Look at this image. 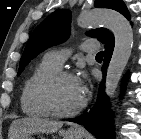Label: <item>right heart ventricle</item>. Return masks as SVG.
Segmentation results:
<instances>
[{"mask_svg": "<svg viewBox=\"0 0 141 139\" xmlns=\"http://www.w3.org/2000/svg\"><path fill=\"white\" fill-rule=\"evenodd\" d=\"M58 70L59 67L43 58L26 78L20 96L21 109L25 115L36 118L49 116L40 103L38 91L42 82Z\"/></svg>", "mask_w": 141, "mask_h": 139, "instance_id": "right-heart-ventricle-1", "label": "right heart ventricle"}]
</instances>
